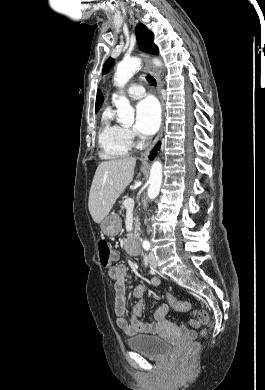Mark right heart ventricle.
I'll use <instances>...</instances> for the list:
<instances>
[{
	"label": "right heart ventricle",
	"mask_w": 265,
	"mask_h": 390,
	"mask_svg": "<svg viewBox=\"0 0 265 390\" xmlns=\"http://www.w3.org/2000/svg\"><path fill=\"white\" fill-rule=\"evenodd\" d=\"M98 142L100 156L107 160L124 157L131 148L132 144L126 135V128L115 122L114 113L110 107L102 113Z\"/></svg>",
	"instance_id": "1"
}]
</instances>
